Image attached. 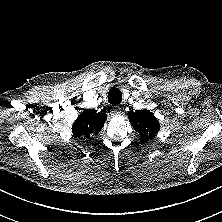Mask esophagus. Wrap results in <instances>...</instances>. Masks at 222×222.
Wrapping results in <instances>:
<instances>
[{"instance_id":"esophagus-1","label":"esophagus","mask_w":222,"mask_h":222,"mask_svg":"<svg viewBox=\"0 0 222 222\" xmlns=\"http://www.w3.org/2000/svg\"><path fill=\"white\" fill-rule=\"evenodd\" d=\"M111 114L112 115H121L122 114V110L119 106H114L112 109H111Z\"/></svg>"}]
</instances>
